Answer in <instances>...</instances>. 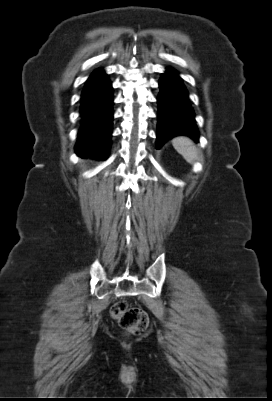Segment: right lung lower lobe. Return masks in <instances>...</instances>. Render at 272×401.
<instances>
[{
	"label": "right lung lower lobe",
	"instance_id": "right-lung-lower-lobe-1",
	"mask_svg": "<svg viewBox=\"0 0 272 401\" xmlns=\"http://www.w3.org/2000/svg\"><path fill=\"white\" fill-rule=\"evenodd\" d=\"M113 91L101 69L93 72L82 92V127L76 144L81 157L105 160L111 145Z\"/></svg>",
	"mask_w": 272,
	"mask_h": 401
}]
</instances>
